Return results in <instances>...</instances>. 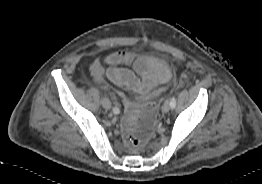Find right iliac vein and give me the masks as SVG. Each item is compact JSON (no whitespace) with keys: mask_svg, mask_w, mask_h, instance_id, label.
I'll list each match as a JSON object with an SVG mask.
<instances>
[{"mask_svg":"<svg viewBox=\"0 0 262 184\" xmlns=\"http://www.w3.org/2000/svg\"><path fill=\"white\" fill-rule=\"evenodd\" d=\"M101 102H102V106H103L105 109L108 110V109L111 108V102H110L109 99L103 98Z\"/></svg>","mask_w":262,"mask_h":184,"instance_id":"right-iliac-vein-1","label":"right iliac vein"}]
</instances>
